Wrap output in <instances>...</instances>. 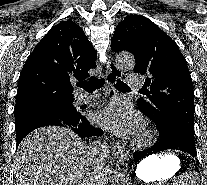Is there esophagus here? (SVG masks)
I'll list each match as a JSON object with an SVG mask.
<instances>
[{"label": "esophagus", "mask_w": 207, "mask_h": 185, "mask_svg": "<svg viewBox=\"0 0 207 185\" xmlns=\"http://www.w3.org/2000/svg\"><path fill=\"white\" fill-rule=\"evenodd\" d=\"M108 60H112V57H108ZM105 67H107V73H106V82L108 87V100H111L112 98L116 97V90L114 88V85L118 81L119 78L122 76V67H117L115 65V62H105ZM111 150L112 154L116 157H125L123 153V148L121 144L117 141L111 142Z\"/></svg>", "instance_id": "34e87169"}]
</instances>
